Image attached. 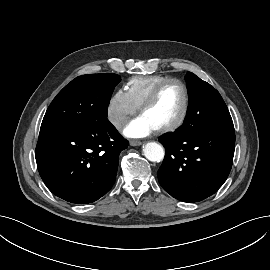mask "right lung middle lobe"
<instances>
[{
    "instance_id": "obj_1",
    "label": "right lung middle lobe",
    "mask_w": 270,
    "mask_h": 270,
    "mask_svg": "<svg viewBox=\"0 0 270 270\" xmlns=\"http://www.w3.org/2000/svg\"><path fill=\"white\" fill-rule=\"evenodd\" d=\"M120 80V76L111 73L75 78L51 102L41 127H82L108 121L110 98Z\"/></svg>"
}]
</instances>
